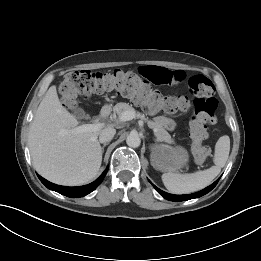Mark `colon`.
Instances as JSON below:
<instances>
[{"label": "colon", "mask_w": 261, "mask_h": 261, "mask_svg": "<svg viewBox=\"0 0 261 261\" xmlns=\"http://www.w3.org/2000/svg\"><path fill=\"white\" fill-rule=\"evenodd\" d=\"M188 86L191 98L163 95L133 71L77 70L64 76L59 85V94L62 104L70 109L76 107L80 96L91 97L111 91L132 99L150 112L175 113L192 106L190 135L193 141V154L197 161L202 162L211 155L210 148L203 144V140L206 138V127L216 123L215 88L212 81L204 75L190 77Z\"/></svg>", "instance_id": "obj_1"}]
</instances>
